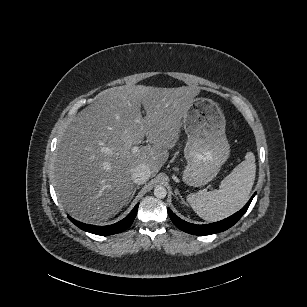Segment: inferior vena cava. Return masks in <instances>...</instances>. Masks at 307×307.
Instances as JSON below:
<instances>
[{"mask_svg": "<svg viewBox=\"0 0 307 307\" xmlns=\"http://www.w3.org/2000/svg\"><path fill=\"white\" fill-rule=\"evenodd\" d=\"M151 176L148 165L141 163L133 169L132 181L138 185L144 184Z\"/></svg>", "mask_w": 307, "mask_h": 307, "instance_id": "inferior-vena-cava-1", "label": "inferior vena cava"}]
</instances>
